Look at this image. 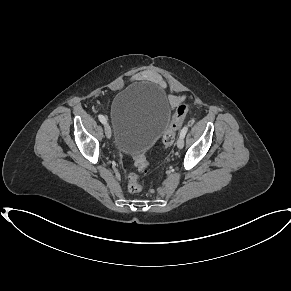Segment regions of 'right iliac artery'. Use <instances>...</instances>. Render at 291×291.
<instances>
[{"label": "right iliac artery", "mask_w": 291, "mask_h": 291, "mask_svg": "<svg viewBox=\"0 0 291 291\" xmlns=\"http://www.w3.org/2000/svg\"><path fill=\"white\" fill-rule=\"evenodd\" d=\"M98 118H99L100 122H102L103 124L106 123V119H105V117L103 115H101V114L98 115Z\"/></svg>", "instance_id": "right-iliac-artery-1"}]
</instances>
